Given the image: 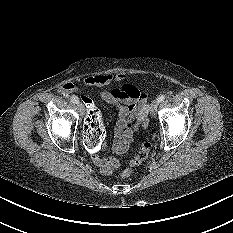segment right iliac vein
Segmentation results:
<instances>
[{
  "label": "right iliac vein",
  "mask_w": 233,
  "mask_h": 233,
  "mask_svg": "<svg viewBox=\"0 0 233 233\" xmlns=\"http://www.w3.org/2000/svg\"><path fill=\"white\" fill-rule=\"evenodd\" d=\"M79 111L81 115L85 114V106L82 103H78Z\"/></svg>",
  "instance_id": "right-iliac-vein-1"
}]
</instances>
